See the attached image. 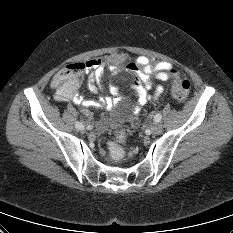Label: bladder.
<instances>
[{"mask_svg": "<svg viewBox=\"0 0 233 233\" xmlns=\"http://www.w3.org/2000/svg\"><path fill=\"white\" fill-rule=\"evenodd\" d=\"M130 111L128 107L115 110L109 117L102 120L99 124L101 130H110L122 125L128 120Z\"/></svg>", "mask_w": 233, "mask_h": 233, "instance_id": "1", "label": "bladder"}]
</instances>
